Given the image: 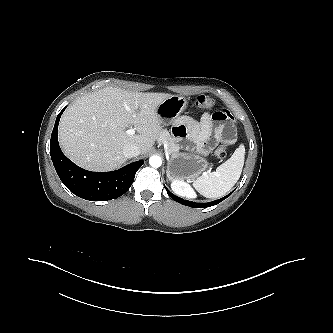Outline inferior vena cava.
<instances>
[{
    "instance_id": "inferior-vena-cava-1",
    "label": "inferior vena cava",
    "mask_w": 333,
    "mask_h": 333,
    "mask_svg": "<svg viewBox=\"0 0 333 333\" xmlns=\"http://www.w3.org/2000/svg\"><path fill=\"white\" fill-rule=\"evenodd\" d=\"M123 154L126 158L136 157L141 154V149L135 144H130L123 148Z\"/></svg>"
}]
</instances>
